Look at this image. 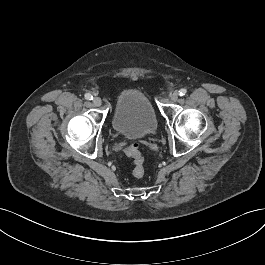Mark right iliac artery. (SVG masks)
<instances>
[{
    "label": "right iliac artery",
    "instance_id": "82829eb1",
    "mask_svg": "<svg viewBox=\"0 0 265 265\" xmlns=\"http://www.w3.org/2000/svg\"><path fill=\"white\" fill-rule=\"evenodd\" d=\"M85 99L92 100L93 99V96L90 93H86L85 94Z\"/></svg>",
    "mask_w": 265,
    "mask_h": 265
}]
</instances>
